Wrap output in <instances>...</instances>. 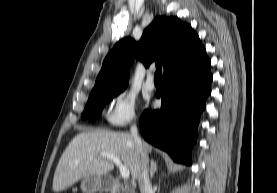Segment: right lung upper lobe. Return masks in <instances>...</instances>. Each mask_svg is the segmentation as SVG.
I'll use <instances>...</instances> for the list:
<instances>
[{"mask_svg":"<svg viewBox=\"0 0 277 193\" xmlns=\"http://www.w3.org/2000/svg\"><path fill=\"white\" fill-rule=\"evenodd\" d=\"M203 46L190 25L177 17H156L144 30L139 42L119 41L106 56L91 94L127 87L129 65L135 56L148 67L153 61L164 67V74L198 53Z\"/></svg>","mask_w":277,"mask_h":193,"instance_id":"1","label":"right lung upper lobe"}]
</instances>
